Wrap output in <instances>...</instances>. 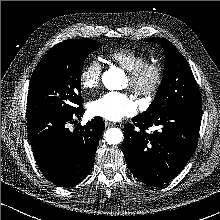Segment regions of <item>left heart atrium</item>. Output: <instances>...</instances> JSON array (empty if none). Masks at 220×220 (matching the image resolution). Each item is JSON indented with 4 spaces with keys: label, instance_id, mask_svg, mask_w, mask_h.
<instances>
[{
    "label": "left heart atrium",
    "instance_id": "left-heart-atrium-1",
    "mask_svg": "<svg viewBox=\"0 0 220 220\" xmlns=\"http://www.w3.org/2000/svg\"><path fill=\"white\" fill-rule=\"evenodd\" d=\"M137 105L132 97L125 93L108 92L89 104L92 115L106 120L117 121L136 112Z\"/></svg>",
    "mask_w": 220,
    "mask_h": 220
}]
</instances>
